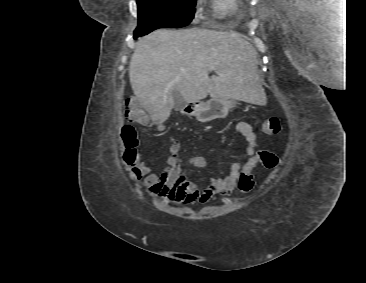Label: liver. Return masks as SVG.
<instances>
[{
  "label": "liver",
  "mask_w": 366,
  "mask_h": 283,
  "mask_svg": "<svg viewBox=\"0 0 366 283\" xmlns=\"http://www.w3.org/2000/svg\"><path fill=\"white\" fill-rule=\"evenodd\" d=\"M256 72L257 52L240 34L198 28L150 33L137 42L129 65L135 97L156 124L170 116L173 90L185 103L210 95L262 105Z\"/></svg>",
  "instance_id": "1"
}]
</instances>
